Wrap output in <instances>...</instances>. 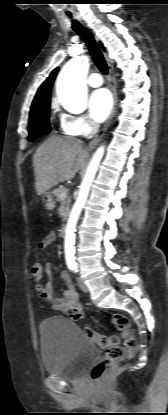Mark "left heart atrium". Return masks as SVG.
Returning <instances> with one entry per match:
<instances>
[{
	"instance_id": "left-heart-atrium-1",
	"label": "left heart atrium",
	"mask_w": 168,
	"mask_h": 415,
	"mask_svg": "<svg viewBox=\"0 0 168 415\" xmlns=\"http://www.w3.org/2000/svg\"><path fill=\"white\" fill-rule=\"evenodd\" d=\"M112 98L108 90L98 89L92 92L89 97V112L95 122H103L112 109Z\"/></svg>"
}]
</instances>
